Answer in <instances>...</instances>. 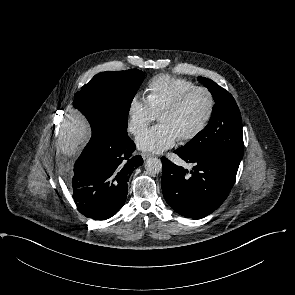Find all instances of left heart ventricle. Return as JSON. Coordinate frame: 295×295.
I'll list each match as a JSON object with an SVG mask.
<instances>
[{
    "label": "left heart ventricle",
    "instance_id": "1",
    "mask_svg": "<svg viewBox=\"0 0 295 295\" xmlns=\"http://www.w3.org/2000/svg\"><path fill=\"white\" fill-rule=\"evenodd\" d=\"M208 106L206 94L196 92L179 112L162 116L160 123L171 127L181 137L196 129L206 116Z\"/></svg>",
    "mask_w": 295,
    "mask_h": 295
}]
</instances>
